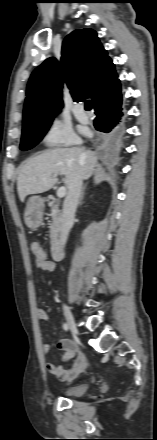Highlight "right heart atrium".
Returning a JSON list of instances; mask_svg holds the SVG:
<instances>
[{"label": "right heart atrium", "instance_id": "1", "mask_svg": "<svg viewBox=\"0 0 157 440\" xmlns=\"http://www.w3.org/2000/svg\"><path fill=\"white\" fill-rule=\"evenodd\" d=\"M42 142L48 147L72 146L80 142L71 124L60 117H51L44 129Z\"/></svg>", "mask_w": 157, "mask_h": 440}]
</instances>
